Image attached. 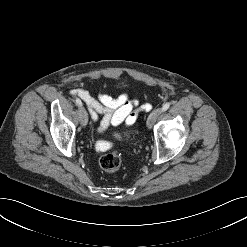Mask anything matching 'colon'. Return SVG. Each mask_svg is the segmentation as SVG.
I'll return each instance as SVG.
<instances>
[{
  "label": "colon",
  "mask_w": 247,
  "mask_h": 247,
  "mask_svg": "<svg viewBox=\"0 0 247 247\" xmlns=\"http://www.w3.org/2000/svg\"><path fill=\"white\" fill-rule=\"evenodd\" d=\"M99 165L106 172H115L121 166V158L116 153H107L100 158Z\"/></svg>",
  "instance_id": "1"
}]
</instances>
